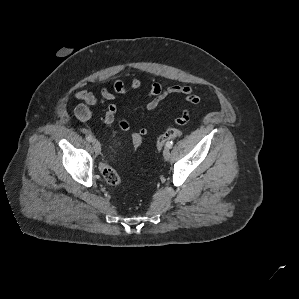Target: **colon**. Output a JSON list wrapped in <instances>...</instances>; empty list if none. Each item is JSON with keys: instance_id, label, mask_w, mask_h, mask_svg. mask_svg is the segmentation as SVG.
<instances>
[{"instance_id": "obj_1", "label": "colon", "mask_w": 299, "mask_h": 299, "mask_svg": "<svg viewBox=\"0 0 299 299\" xmlns=\"http://www.w3.org/2000/svg\"><path fill=\"white\" fill-rule=\"evenodd\" d=\"M180 135H181V131L179 129L169 128L157 139V142H156L157 148L158 149L162 148L165 143H167L171 139H174ZM143 137H144V135L139 130L133 131L131 133L130 142H131V147L134 151L137 150L141 146ZM100 171H101L104 181L107 184L114 186V185H117L120 183L121 179H120L118 172L114 168H112L110 165H108L107 163H102L100 165Z\"/></svg>"}]
</instances>
